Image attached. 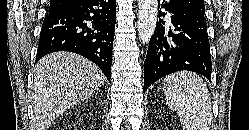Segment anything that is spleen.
Here are the masks:
<instances>
[{"label":"spleen","mask_w":249,"mask_h":130,"mask_svg":"<svg viewBox=\"0 0 249 130\" xmlns=\"http://www.w3.org/2000/svg\"><path fill=\"white\" fill-rule=\"evenodd\" d=\"M163 91L169 108L178 112L183 130H209L211 99L198 74L188 71L170 74L164 78Z\"/></svg>","instance_id":"1"}]
</instances>
